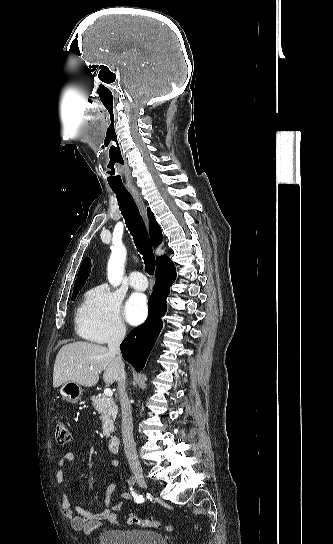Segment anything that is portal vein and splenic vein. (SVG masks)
I'll use <instances>...</instances> for the list:
<instances>
[{
	"mask_svg": "<svg viewBox=\"0 0 333 544\" xmlns=\"http://www.w3.org/2000/svg\"><path fill=\"white\" fill-rule=\"evenodd\" d=\"M104 394L108 397H111L113 395V392L110 388H105L104 389Z\"/></svg>",
	"mask_w": 333,
	"mask_h": 544,
	"instance_id": "portal-vein-and-splenic-vein-1",
	"label": "portal vein and splenic vein"
}]
</instances>
